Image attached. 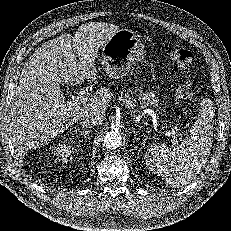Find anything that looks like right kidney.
<instances>
[{
    "instance_id": "ca27d5eb",
    "label": "right kidney",
    "mask_w": 231,
    "mask_h": 231,
    "mask_svg": "<svg viewBox=\"0 0 231 231\" xmlns=\"http://www.w3.org/2000/svg\"><path fill=\"white\" fill-rule=\"evenodd\" d=\"M54 150V153L56 155H59L60 157L65 159L74 152V147L69 142H64L57 145Z\"/></svg>"
}]
</instances>
